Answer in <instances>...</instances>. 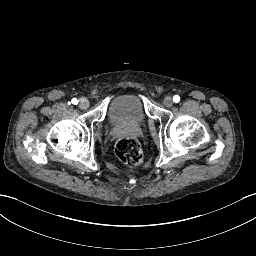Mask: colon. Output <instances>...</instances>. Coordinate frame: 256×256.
Listing matches in <instances>:
<instances>
[{"label": "colon", "instance_id": "obj_1", "mask_svg": "<svg viewBox=\"0 0 256 256\" xmlns=\"http://www.w3.org/2000/svg\"><path fill=\"white\" fill-rule=\"evenodd\" d=\"M116 154L121 163L127 168L138 167L143 158L138 141L131 137H122L117 142Z\"/></svg>", "mask_w": 256, "mask_h": 256}]
</instances>
